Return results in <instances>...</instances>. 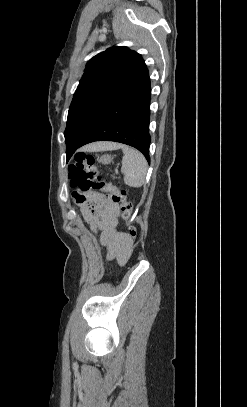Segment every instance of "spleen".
Masks as SVG:
<instances>
[{
  "instance_id": "spleen-1",
  "label": "spleen",
  "mask_w": 247,
  "mask_h": 407,
  "mask_svg": "<svg viewBox=\"0 0 247 407\" xmlns=\"http://www.w3.org/2000/svg\"><path fill=\"white\" fill-rule=\"evenodd\" d=\"M124 153L121 172L124 175V183L130 187H141L146 178L147 161L136 149L122 146Z\"/></svg>"
}]
</instances>
